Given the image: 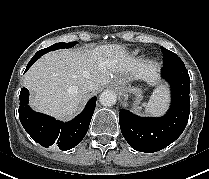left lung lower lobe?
<instances>
[{"mask_svg":"<svg viewBox=\"0 0 209 179\" xmlns=\"http://www.w3.org/2000/svg\"><path fill=\"white\" fill-rule=\"evenodd\" d=\"M162 78L171 87V106L162 117H140L120 110L121 132L137 151L157 152L174 142L184 131L190 113V77L184 63L161 69Z\"/></svg>","mask_w":209,"mask_h":179,"instance_id":"0a47b994","label":"left lung lower lobe"}]
</instances>
